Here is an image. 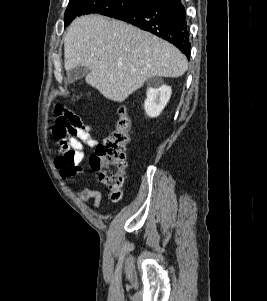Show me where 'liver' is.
Segmentation results:
<instances>
[{
	"instance_id": "1",
	"label": "liver",
	"mask_w": 267,
	"mask_h": 301,
	"mask_svg": "<svg viewBox=\"0 0 267 301\" xmlns=\"http://www.w3.org/2000/svg\"><path fill=\"white\" fill-rule=\"evenodd\" d=\"M77 66L89 70L87 84L122 102L153 76H182L188 61L174 45L149 32L92 14L76 18L64 37L65 70Z\"/></svg>"
}]
</instances>
